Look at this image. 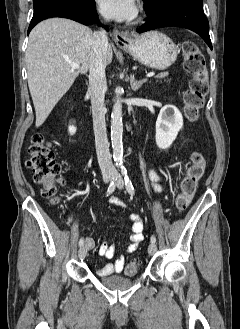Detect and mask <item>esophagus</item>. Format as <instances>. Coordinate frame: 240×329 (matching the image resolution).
Segmentation results:
<instances>
[{
	"label": "esophagus",
	"instance_id": "obj_1",
	"mask_svg": "<svg viewBox=\"0 0 240 329\" xmlns=\"http://www.w3.org/2000/svg\"><path fill=\"white\" fill-rule=\"evenodd\" d=\"M113 38L116 44L122 48L129 47L132 43L131 35L128 32L114 30Z\"/></svg>",
	"mask_w": 240,
	"mask_h": 329
}]
</instances>
